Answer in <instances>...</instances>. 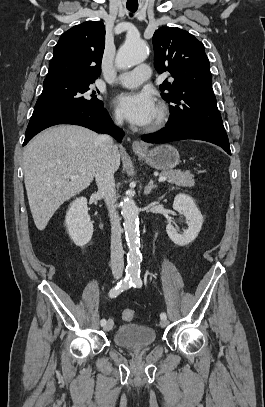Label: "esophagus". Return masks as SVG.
<instances>
[{
	"label": "esophagus",
	"mask_w": 265,
	"mask_h": 407,
	"mask_svg": "<svg viewBox=\"0 0 265 407\" xmlns=\"http://www.w3.org/2000/svg\"><path fill=\"white\" fill-rule=\"evenodd\" d=\"M132 149L134 151H142V150H144V145L140 141L135 140L132 143Z\"/></svg>",
	"instance_id": "34e87169"
}]
</instances>
